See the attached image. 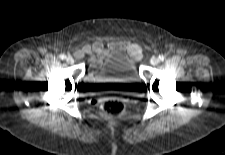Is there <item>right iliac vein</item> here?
Instances as JSON below:
<instances>
[{
    "instance_id": "1",
    "label": "right iliac vein",
    "mask_w": 225,
    "mask_h": 155,
    "mask_svg": "<svg viewBox=\"0 0 225 155\" xmlns=\"http://www.w3.org/2000/svg\"><path fill=\"white\" fill-rule=\"evenodd\" d=\"M66 62H67L68 64H73V63H74L73 57L68 56V57L66 58Z\"/></svg>"
}]
</instances>
